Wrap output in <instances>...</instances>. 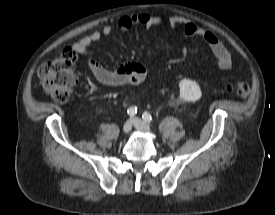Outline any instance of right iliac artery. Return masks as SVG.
I'll return each instance as SVG.
<instances>
[{
    "label": "right iliac artery",
    "mask_w": 275,
    "mask_h": 215,
    "mask_svg": "<svg viewBox=\"0 0 275 215\" xmlns=\"http://www.w3.org/2000/svg\"><path fill=\"white\" fill-rule=\"evenodd\" d=\"M127 113H128V115L133 117L137 113V107L132 106V107L128 108Z\"/></svg>",
    "instance_id": "1"
}]
</instances>
